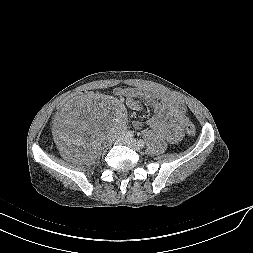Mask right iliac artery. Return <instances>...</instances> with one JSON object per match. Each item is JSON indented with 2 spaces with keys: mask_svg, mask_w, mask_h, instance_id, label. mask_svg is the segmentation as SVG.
I'll list each match as a JSON object with an SVG mask.
<instances>
[{
  "mask_svg": "<svg viewBox=\"0 0 253 253\" xmlns=\"http://www.w3.org/2000/svg\"><path fill=\"white\" fill-rule=\"evenodd\" d=\"M125 134L127 137H133L132 131H127Z\"/></svg>",
  "mask_w": 253,
  "mask_h": 253,
  "instance_id": "1",
  "label": "right iliac artery"
}]
</instances>
